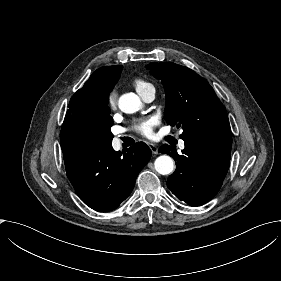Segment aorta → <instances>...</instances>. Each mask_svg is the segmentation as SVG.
<instances>
[{
  "mask_svg": "<svg viewBox=\"0 0 281 281\" xmlns=\"http://www.w3.org/2000/svg\"><path fill=\"white\" fill-rule=\"evenodd\" d=\"M119 108L122 112L132 114L140 110L142 102L134 93L123 94L118 101ZM155 170L161 175H168L174 170V161L168 155H161L154 162Z\"/></svg>",
  "mask_w": 281,
  "mask_h": 281,
  "instance_id": "762f6f07",
  "label": "aorta"
}]
</instances>
